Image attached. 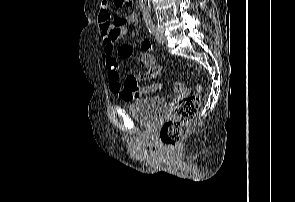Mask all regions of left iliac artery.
Returning <instances> with one entry per match:
<instances>
[{
    "label": "left iliac artery",
    "mask_w": 295,
    "mask_h": 202,
    "mask_svg": "<svg viewBox=\"0 0 295 202\" xmlns=\"http://www.w3.org/2000/svg\"><path fill=\"white\" fill-rule=\"evenodd\" d=\"M146 26L150 32V34H155V26L153 25V22L152 21H147L146 22Z\"/></svg>",
    "instance_id": "1"
}]
</instances>
